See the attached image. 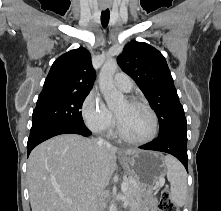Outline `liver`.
<instances>
[{
	"label": "liver",
	"instance_id": "1",
	"mask_svg": "<svg viewBox=\"0 0 221 211\" xmlns=\"http://www.w3.org/2000/svg\"><path fill=\"white\" fill-rule=\"evenodd\" d=\"M117 152L138 151H119L77 134L58 135L38 145L27 162L32 211H90L116 169Z\"/></svg>",
	"mask_w": 221,
	"mask_h": 211
}]
</instances>
